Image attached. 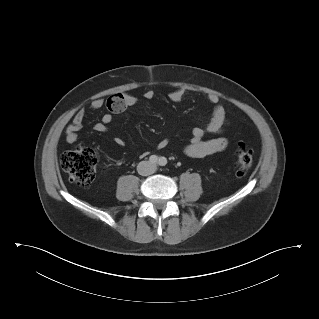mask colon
I'll list each match as a JSON object with an SVG mask.
<instances>
[{"label":"colon","mask_w":319,"mask_h":319,"mask_svg":"<svg viewBox=\"0 0 319 319\" xmlns=\"http://www.w3.org/2000/svg\"><path fill=\"white\" fill-rule=\"evenodd\" d=\"M115 95L110 99L111 109L116 98ZM98 162L97 152L88 146L80 145L74 150L65 152L60 157L62 168L68 173L71 180L82 186H89L93 182L96 174ZM253 164V151L244 144L240 143L235 151V169L239 176H243Z\"/></svg>","instance_id":"colon-1"}]
</instances>
